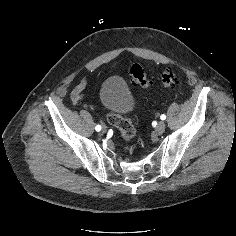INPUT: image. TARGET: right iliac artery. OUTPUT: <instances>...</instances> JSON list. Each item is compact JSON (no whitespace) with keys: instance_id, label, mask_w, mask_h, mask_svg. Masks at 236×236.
<instances>
[{"instance_id":"1","label":"right iliac artery","mask_w":236,"mask_h":236,"mask_svg":"<svg viewBox=\"0 0 236 236\" xmlns=\"http://www.w3.org/2000/svg\"><path fill=\"white\" fill-rule=\"evenodd\" d=\"M95 130L99 132V131L101 130V126H100V125H97V126L95 127Z\"/></svg>"}]
</instances>
